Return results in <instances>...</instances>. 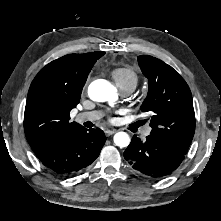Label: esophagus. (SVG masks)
I'll return each instance as SVG.
<instances>
[{
    "label": "esophagus",
    "instance_id": "1",
    "mask_svg": "<svg viewBox=\"0 0 221 221\" xmlns=\"http://www.w3.org/2000/svg\"><path fill=\"white\" fill-rule=\"evenodd\" d=\"M115 132H116L115 129H107V130L105 131V134H106V136H111V135H113Z\"/></svg>",
    "mask_w": 221,
    "mask_h": 221
}]
</instances>
